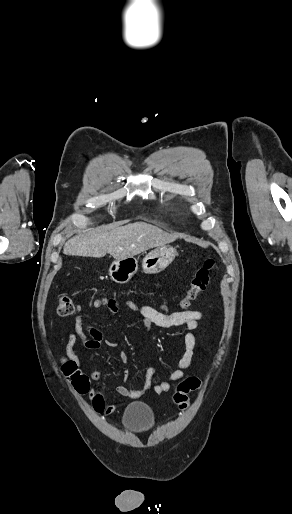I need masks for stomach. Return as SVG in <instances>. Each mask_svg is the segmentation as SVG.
I'll list each match as a JSON object with an SVG mask.
<instances>
[{
    "label": "stomach",
    "mask_w": 292,
    "mask_h": 514,
    "mask_svg": "<svg viewBox=\"0 0 292 514\" xmlns=\"http://www.w3.org/2000/svg\"><path fill=\"white\" fill-rule=\"evenodd\" d=\"M176 256L174 248L168 246H160L156 250L149 252L142 260V270L145 274H159L165 270ZM138 270V262L136 258H124V260H115L109 268L111 280L116 284H127L133 278Z\"/></svg>",
    "instance_id": "1"
}]
</instances>
